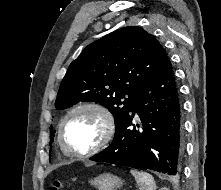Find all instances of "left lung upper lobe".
Wrapping results in <instances>:
<instances>
[{"mask_svg": "<svg viewBox=\"0 0 221 190\" xmlns=\"http://www.w3.org/2000/svg\"><path fill=\"white\" fill-rule=\"evenodd\" d=\"M166 58L162 45L142 28L118 29L89 44L70 64L55 107L66 109L80 101L97 102L113 114L117 125L140 88ZM53 137L50 132L51 141Z\"/></svg>", "mask_w": 221, "mask_h": 190, "instance_id": "obj_1", "label": "left lung upper lobe"}]
</instances>
